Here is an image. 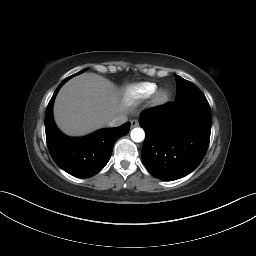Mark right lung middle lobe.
Here are the masks:
<instances>
[{
    "label": "right lung middle lobe",
    "mask_w": 256,
    "mask_h": 256,
    "mask_svg": "<svg viewBox=\"0 0 256 256\" xmlns=\"http://www.w3.org/2000/svg\"><path fill=\"white\" fill-rule=\"evenodd\" d=\"M85 70H86V69H84V70H82V71H80V72H78V73H76V74H74V75H72V76L66 78L64 81H67V80L70 79L71 77H73V76H75V75H77V74H80V73L84 72Z\"/></svg>",
    "instance_id": "dd1d6c3e"
}]
</instances>
